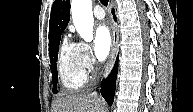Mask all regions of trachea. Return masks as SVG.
<instances>
[{
    "mask_svg": "<svg viewBox=\"0 0 193 112\" xmlns=\"http://www.w3.org/2000/svg\"><path fill=\"white\" fill-rule=\"evenodd\" d=\"M100 2L105 6L108 4V0H100Z\"/></svg>",
    "mask_w": 193,
    "mask_h": 112,
    "instance_id": "3493384b",
    "label": "trachea"
}]
</instances>
